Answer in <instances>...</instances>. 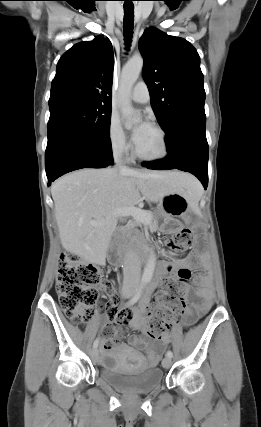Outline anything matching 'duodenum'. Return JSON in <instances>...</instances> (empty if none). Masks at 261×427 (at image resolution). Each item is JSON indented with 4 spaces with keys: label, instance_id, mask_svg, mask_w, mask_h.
I'll use <instances>...</instances> for the list:
<instances>
[{
    "label": "duodenum",
    "instance_id": "obj_1",
    "mask_svg": "<svg viewBox=\"0 0 261 427\" xmlns=\"http://www.w3.org/2000/svg\"><path fill=\"white\" fill-rule=\"evenodd\" d=\"M121 237H122L121 235H116L114 238V244H113L114 248H113L111 256H110V264L113 267H119L122 264L121 256L119 255V253L117 251L119 248V245H120Z\"/></svg>",
    "mask_w": 261,
    "mask_h": 427
}]
</instances>
